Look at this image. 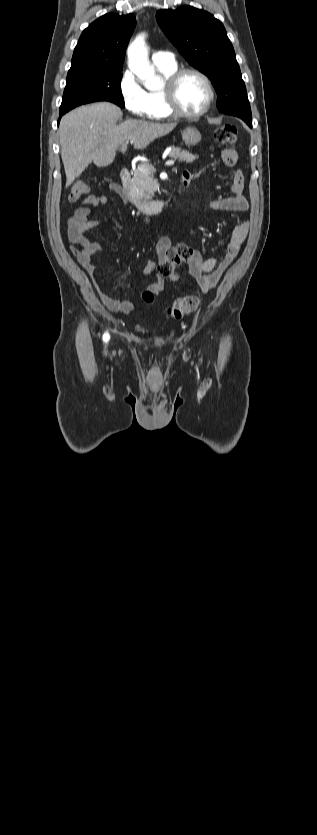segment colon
<instances>
[{
  "instance_id": "obj_1",
  "label": "colon",
  "mask_w": 317,
  "mask_h": 835,
  "mask_svg": "<svg viewBox=\"0 0 317 835\" xmlns=\"http://www.w3.org/2000/svg\"><path fill=\"white\" fill-rule=\"evenodd\" d=\"M236 133V128L234 126L224 125L216 128L213 135L219 144L229 149L235 143ZM87 192V185L82 181H77L71 187L69 200L71 202H76L83 198ZM193 252L194 250L192 248L186 246V248L179 254V258L178 256L176 257L175 261L162 262L158 266V272L170 281H176L178 279L177 266L180 263V259L188 258ZM142 299L147 303L153 302L154 292L151 290H145L142 293ZM199 304L200 300L196 295L179 297L169 307L168 314L173 318L179 319L185 314L195 311L199 307Z\"/></svg>"
}]
</instances>
